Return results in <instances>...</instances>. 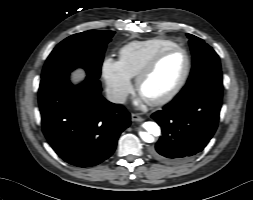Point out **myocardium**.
<instances>
[{"label":"myocardium","mask_w":253,"mask_h":200,"mask_svg":"<svg viewBox=\"0 0 253 200\" xmlns=\"http://www.w3.org/2000/svg\"><path fill=\"white\" fill-rule=\"evenodd\" d=\"M176 51L182 52L185 55L186 68H185L184 74L181 77L178 84L168 94H166L165 96H163L161 98L155 99V100H147L148 103L152 106H161V105H165V104L169 103L184 88L185 84L188 81V78L191 73V68H192V60H191V57H190L188 51L185 48L178 46V45L164 49V50L160 51L159 53H157L136 75L135 87H136V90L139 91L142 82L155 70V68L158 66V64L161 62V60L165 56H167L168 54H170L172 52H176Z\"/></svg>","instance_id":"f54148a6"}]
</instances>
